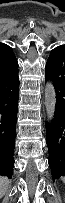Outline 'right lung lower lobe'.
I'll use <instances>...</instances> for the list:
<instances>
[{
    "label": "right lung lower lobe",
    "instance_id": "right-lung-lower-lobe-1",
    "mask_svg": "<svg viewBox=\"0 0 65 203\" xmlns=\"http://www.w3.org/2000/svg\"><path fill=\"white\" fill-rule=\"evenodd\" d=\"M18 67L0 70V175L12 177L16 117L18 110Z\"/></svg>",
    "mask_w": 65,
    "mask_h": 203
}]
</instances>
